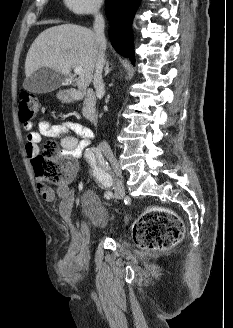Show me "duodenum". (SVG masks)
<instances>
[{
  "mask_svg": "<svg viewBox=\"0 0 233 328\" xmlns=\"http://www.w3.org/2000/svg\"><path fill=\"white\" fill-rule=\"evenodd\" d=\"M64 97L68 101L82 100L83 117L91 123H96L97 121L96 97L92 90L90 89L84 91L71 90V91H67Z\"/></svg>",
  "mask_w": 233,
  "mask_h": 328,
  "instance_id": "410a0bca",
  "label": "duodenum"
}]
</instances>
